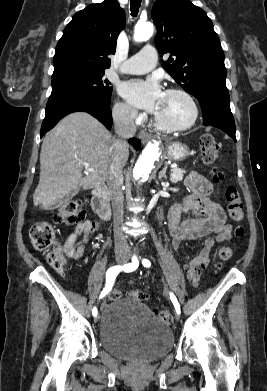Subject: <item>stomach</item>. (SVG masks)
I'll list each match as a JSON object with an SVG mask.
<instances>
[{
	"instance_id": "obj_1",
	"label": "stomach",
	"mask_w": 267,
	"mask_h": 391,
	"mask_svg": "<svg viewBox=\"0 0 267 391\" xmlns=\"http://www.w3.org/2000/svg\"><path fill=\"white\" fill-rule=\"evenodd\" d=\"M190 155L188 147L179 142H173L168 146L167 157L173 161H182Z\"/></svg>"
}]
</instances>
